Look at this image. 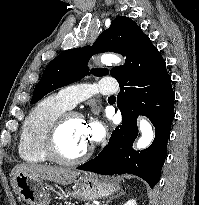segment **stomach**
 <instances>
[{
  "instance_id": "1",
  "label": "stomach",
  "mask_w": 199,
  "mask_h": 205,
  "mask_svg": "<svg viewBox=\"0 0 199 205\" xmlns=\"http://www.w3.org/2000/svg\"><path fill=\"white\" fill-rule=\"evenodd\" d=\"M15 189L19 197L29 205L50 204V194L44 186L43 179L19 173L15 178ZM117 190L118 185L109 177L85 174L74 180L73 191H69L67 196L96 200L112 195Z\"/></svg>"
}]
</instances>
